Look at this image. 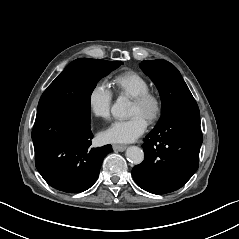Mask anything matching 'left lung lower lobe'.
<instances>
[{
	"label": "left lung lower lobe",
	"mask_w": 239,
	"mask_h": 239,
	"mask_svg": "<svg viewBox=\"0 0 239 239\" xmlns=\"http://www.w3.org/2000/svg\"><path fill=\"white\" fill-rule=\"evenodd\" d=\"M144 141V161L132 169L136 184L153 194L178 190L199 166L203 137L198 106L172 112Z\"/></svg>",
	"instance_id": "0a47b994"
}]
</instances>
